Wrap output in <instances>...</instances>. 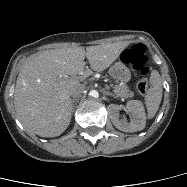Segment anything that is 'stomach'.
I'll return each instance as SVG.
<instances>
[{"label":"stomach","mask_w":187,"mask_h":187,"mask_svg":"<svg viewBox=\"0 0 187 187\" xmlns=\"http://www.w3.org/2000/svg\"><path fill=\"white\" fill-rule=\"evenodd\" d=\"M109 74L112 78L121 82H128L131 78L130 70L122 61H118L111 66L109 69Z\"/></svg>","instance_id":"1"}]
</instances>
